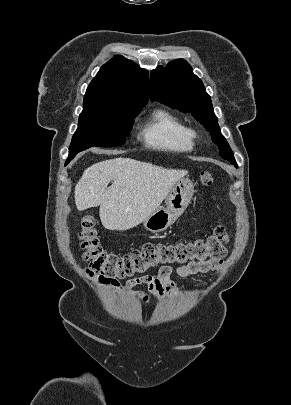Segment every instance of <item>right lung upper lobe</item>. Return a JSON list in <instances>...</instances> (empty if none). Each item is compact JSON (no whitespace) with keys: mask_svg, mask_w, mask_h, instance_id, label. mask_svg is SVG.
Returning a JSON list of instances; mask_svg holds the SVG:
<instances>
[{"mask_svg":"<svg viewBox=\"0 0 291 405\" xmlns=\"http://www.w3.org/2000/svg\"><path fill=\"white\" fill-rule=\"evenodd\" d=\"M149 99V75L132 61L116 55L104 64L89 84L83 108H142Z\"/></svg>","mask_w":291,"mask_h":405,"instance_id":"cb5924a9","label":"right lung upper lobe"}]
</instances>
